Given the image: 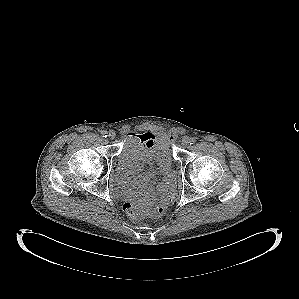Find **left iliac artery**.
I'll list each match as a JSON object with an SVG mask.
<instances>
[{
  "mask_svg": "<svg viewBox=\"0 0 299 299\" xmlns=\"http://www.w3.org/2000/svg\"><path fill=\"white\" fill-rule=\"evenodd\" d=\"M195 142H196L195 138H190V141H189L190 144H194Z\"/></svg>",
  "mask_w": 299,
  "mask_h": 299,
  "instance_id": "left-iliac-artery-1",
  "label": "left iliac artery"
}]
</instances>
